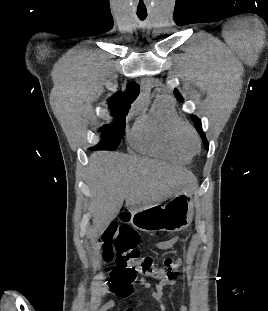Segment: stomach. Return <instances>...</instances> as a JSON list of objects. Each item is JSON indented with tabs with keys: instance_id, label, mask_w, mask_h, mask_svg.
<instances>
[{
	"instance_id": "0dacf381",
	"label": "stomach",
	"mask_w": 268,
	"mask_h": 311,
	"mask_svg": "<svg viewBox=\"0 0 268 311\" xmlns=\"http://www.w3.org/2000/svg\"><path fill=\"white\" fill-rule=\"evenodd\" d=\"M193 219V201L190 192L183 190L169 203L159 204L131 212L130 223L145 232H179L186 229Z\"/></svg>"
}]
</instances>
